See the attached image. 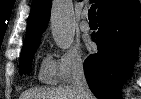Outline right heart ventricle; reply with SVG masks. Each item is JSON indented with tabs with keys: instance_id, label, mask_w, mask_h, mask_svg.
<instances>
[{
	"instance_id": "obj_1",
	"label": "right heart ventricle",
	"mask_w": 141,
	"mask_h": 99,
	"mask_svg": "<svg viewBox=\"0 0 141 99\" xmlns=\"http://www.w3.org/2000/svg\"><path fill=\"white\" fill-rule=\"evenodd\" d=\"M38 77L41 82L46 84H54L57 82L56 65L50 56H46L42 60Z\"/></svg>"
}]
</instances>
